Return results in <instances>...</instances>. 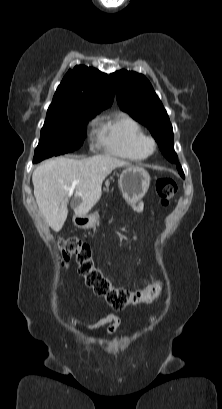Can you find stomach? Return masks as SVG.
Instances as JSON below:
<instances>
[{
	"label": "stomach",
	"instance_id": "0dacf381",
	"mask_svg": "<svg viewBox=\"0 0 222 409\" xmlns=\"http://www.w3.org/2000/svg\"><path fill=\"white\" fill-rule=\"evenodd\" d=\"M150 185V175L142 167L128 166L120 175L119 186L124 199L129 205L141 200ZM96 214H77L73 216V224L81 229L93 228L97 223Z\"/></svg>",
	"mask_w": 222,
	"mask_h": 409
}]
</instances>
